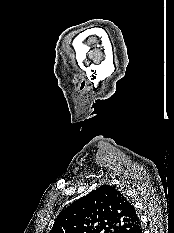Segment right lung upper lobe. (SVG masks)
Listing matches in <instances>:
<instances>
[{
	"label": "right lung upper lobe",
	"mask_w": 174,
	"mask_h": 233,
	"mask_svg": "<svg viewBox=\"0 0 174 233\" xmlns=\"http://www.w3.org/2000/svg\"><path fill=\"white\" fill-rule=\"evenodd\" d=\"M134 206L110 185H102L59 213L49 233H137Z\"/></svg>",
	"instance_id": "obj_1"
}]
</instances>
